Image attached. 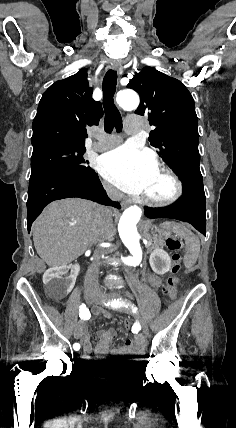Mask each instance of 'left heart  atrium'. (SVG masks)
<instances>
[{"label":"left heart atrium","mask_w":236,"mask_h":428,"mask_svg":"<svg viewBox=\"0 0 236 428\" xmlns=\"http://www.w3.org/2000/svg\"><path fill=\"white\" fill-rule=\"evenodd\" d=\"M157 162L145 151L120 146L102 158L101 175L130 194H142Z\"/></svg>","instance_id":"left-heart-atrium-1"}]
</instances>
